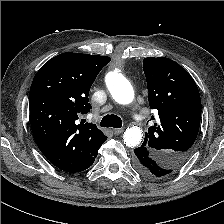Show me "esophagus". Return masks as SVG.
<instances>
[{
	"label": "esophagus",
	"mask_w": 224,
	"mask_h": 224,
	"mask_svg": "<svg viewBox=\"0 0 224 224\" xmlns=\"http://www.w3.org/2000/svg\"><path fill=\"white\" fill-rule=\"evenodd\" d=\"M112 132L115 134V135H119L123 132V129L120 128V129H113Z\"/></svg>",
	"instance_id": "esophagus-1"
}]
</instances>
